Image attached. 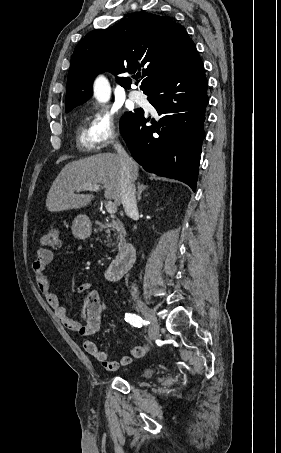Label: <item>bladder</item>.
<instances>
[{"instance_id": "bladder-1", "label": "bladder", "mask_w": 281, "mask_h": 453, "mask_svg": "<svg viewBox=\"0 0 281 453\" xmlns=\"http://www.w3.org/2000/svg\"><path fill=\"white\" fill-rule=\"evenodd\" d=\"M154 372V369L151 368V367H148V368H145L141 371V375L144 376V377H148L150 376L151 374H153Z\"/></svg>"}]
</instances>
